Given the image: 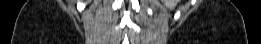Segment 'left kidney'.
<instances>
[{"instance_id":"1","label":"left kidney","mask_w":261,"mask_h":44,"mask_svg":"<svg viewBox=\"0 0 261 44\" xmlns=\"http://www.w3.org/2000/svg\"><path fill=\"white\" fill-rule=\"evenodd\" d=\"M164 4L169 7L170 9H173L177 3V0H162Z\"/></svg>"}]
</instances>
